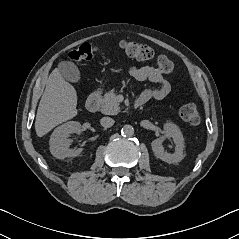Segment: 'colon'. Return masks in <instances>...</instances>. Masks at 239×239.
I'll return each instance as SVG.
<instances>
[{"label":"colon","mask_w":239,"mask_h":239,"mask_svg":"<svg viewBox=\"0 0 239 239\" xmlns=\"http://www.w3.org/2000/svg\"><path fill=\"white\" fill-rule=\"evenodd\" d=\"M120 47L131 57L138 60H151L155 57L154 50L145 44H139L132 41H122ZM98 47L93 46L89 43H83L77 48L70 51L68 57L74 63H80L89 61L97 53ZM157 64L159 69L164 74L173 73V63L164 55L157 57ZM180 117L192 126H198L201 121L200 113L196 105L192 103H186L179 107Z\"/></svg>","instance_id":"colon-1"}]
</instances>
